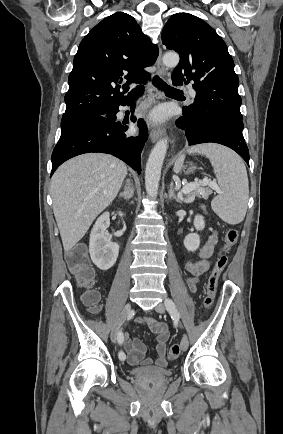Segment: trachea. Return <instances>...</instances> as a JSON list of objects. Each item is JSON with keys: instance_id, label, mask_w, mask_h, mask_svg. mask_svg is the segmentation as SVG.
<instances>
[{"instance_id": "obj_1", "label": "trachea", "mask_w": 283, "mask_h": 434, "mask_svg": "<svg viewBox=\"0 0 283 434\" xmlns=\"http://www.w3.org/2000/svg\"><path fill=\"white\" fill-rule=\"evenodd\" d=\"M153 85L157 87L158 89L164 91L166 95H176L181 94L182 92L180 90H177L169 85H167L162 79H160L158 76H155L153 78Z\"/></svg>"}]
</instances>
